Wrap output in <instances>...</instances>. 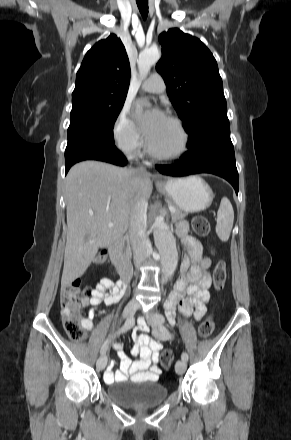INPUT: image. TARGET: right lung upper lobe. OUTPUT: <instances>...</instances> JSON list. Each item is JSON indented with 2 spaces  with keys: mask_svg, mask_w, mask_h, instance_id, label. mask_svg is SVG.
<instances>
[{
  "mask_svg": "<svg viewBox=\"0 0 291 440\" xmlns=\"http://www.w3.org/2000/svg\"><path fill=\"white\" fill-rule=\"evenodd\" d=\"M130 64L114 34L97 42L85 55L76 75L72 103L81 100L126 99Z\"/></svg>",
  "mask_w": 291,
  "mask_h": 440,
  "instance_id": "1",
  "label": "right lung upper lobe"
}]
</instances>
